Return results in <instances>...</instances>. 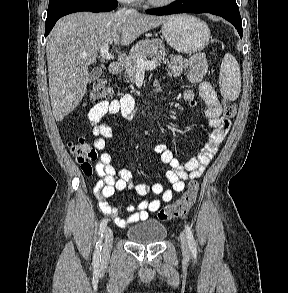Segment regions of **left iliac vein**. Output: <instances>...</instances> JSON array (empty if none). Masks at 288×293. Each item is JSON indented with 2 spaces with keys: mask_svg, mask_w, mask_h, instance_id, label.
Returning <instances> with one entry per match:
<instances>
[{
  "mask_svg": "<svg viewBox=\"0 0 288 293\" xmlns=\"http://www.w3.org/2000/svg\"><path fill=\"white\" fill-rule=\"evenodd\" d=\"M181 249L184 256L189 255L188 243L184 234L180 235Z\"/></svg>",
  "mask_w": 288,
  "mask_h": 293,
  "instance_id": "1",
  "label": "left iliac vein"
}]
</instances>
